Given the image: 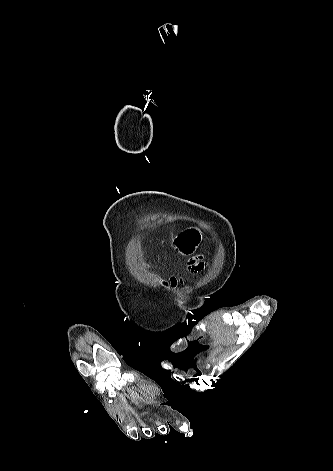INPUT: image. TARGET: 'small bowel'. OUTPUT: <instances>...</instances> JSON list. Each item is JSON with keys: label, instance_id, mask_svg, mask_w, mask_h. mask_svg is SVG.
Instances as JSON below:
<instances>
[{"label": "small bowel", "instance_id": "obj_1", "mask_svg": "<svg viewBox=\"0 0 333 471\" xmlns=\"http://www.w3.org/2000/svg\"><path fill=\"white\" fill-rule=\"evenodd\" d=\"M199 241V236L194 231L190 230L188 232H183L177 239H176V246L178 250L188 256H191L195 250ZM204 264L198 257H190L188 268L192 272H197L203 268ZM147 267V266H146ZM155 279L166 289H173L178 284L183 282V279L180 275H172L168 278H163L159 275H154Z\"/></svg>", "mask_w": 333, "mask_h": 471}]
</instances>
